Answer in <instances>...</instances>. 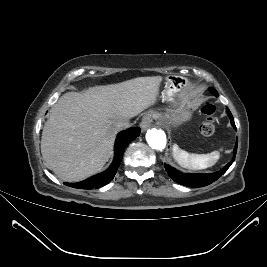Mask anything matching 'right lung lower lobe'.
I'll use <instances>...</instances> for the list:
<instances>
[{
	"label": "right lung lower lobe",
	"instance_id": "obj_1",
	"mask_svg": "<svg viewBox=\"0 0 267 267\" xmlns=\"http://www.w3.org/2000/svg\"><path fill=\"white\" fill-rule=\"evenodd\" d=\"M140 134V128L132 127L120 132L115 142V156L111 166L103 173L92 176L78 183H65L66 185L79 189L99 188L109 183L115 176L116 171L123 158L125 147Z\"/></svg>",
	"mask_w": 267,
	"mask_h": 267
}]
</instances>
